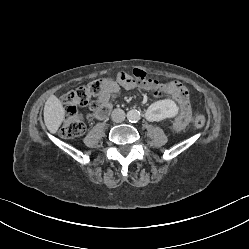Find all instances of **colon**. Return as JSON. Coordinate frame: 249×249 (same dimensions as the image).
I'll return each mask as SVG.
<instances>
[{
	"mask_svg": "<svg viewBox=\"0 0 249 249\" xmlns=\"http://www.w3.org/2000/svg\"><path fill=\"white\" fill-rule=\"evenodd\" d=\"M112 79H100L65 93L62 101L66 106L63 123L60 129V135L65 139H71L82 135L86 125L81 113L77 111L78 105L90 104L93 111H98L97 104L90 102L91 97L99 95L103 89L111 83ZM192 124L201 128L206 124V118L202 114H195L192 118Z\"/></svg>",
	"mask_w": 249,
	"mask_h": 249,
	"instance_id": "1",
	"label": "colon"
}]
</instances>
